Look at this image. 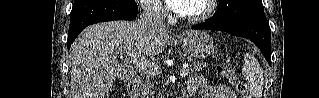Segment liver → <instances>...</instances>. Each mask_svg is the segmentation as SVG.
<instances>
[{"label":"liver","mask_w":319,"mask_h":98,"mask_svg":"<svg viewBox=\"0 0 319 98\" xmlns=\"http://www.w3.org/2000/svg\"><path fill=\"white\" fill-rule=\"evenodd\" d=\"M167 30L152 32L138 21H112L87 27L71 47V97L104 98L119 75L118 52L153 58L167 46Z\"/></svg>","instance_id":"obj_1"}]
</instances>
